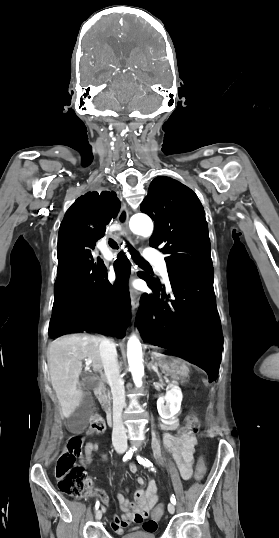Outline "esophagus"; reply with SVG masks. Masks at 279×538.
<instances>
[{
	"instance_id": "34e87169",
	"label": "esophagus",
	"mask_w": 279,
	"mask_h": 538,
	"mask_svg": "<svg viewBox=\"0 0 279 538\" xmlns=\"http://www.w3.org/2000/svg\"><path fill=\"white\" fill-rule=\"evenodd\" d=\"M117 223L121 226V233L126 236L128 239H131V232H130V229H129V212L127 210V207L126 205L123 203L121 205V208H120V211L118 213V216H117ZM136 272H137V269L135 268V264H133V269H132V280H134L136 278ZM138 296H139V292L134 288V287H131L130 288V297H131V305H132V310H135L136 306H137V303H138Z\"/></svg>"
}]
</instances>
